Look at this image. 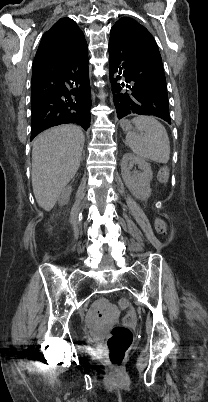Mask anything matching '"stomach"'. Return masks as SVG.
I'll list each match as a JSON object with an SVG mask.
<instances>
[{
	"mask_svg": "<svg viewBox=\"0 0 208 402\" xmlns=\"http://www.w3.org/2000/svg\"><path fill=\"white\" fill-rule=\"evenodd\" d=\"M121 128L124 132H130V130H132V124L128 122V120H121Z\"/></svg>",
	"mask_w": 208,
	"mask_h": 402,
	"instance_id": "stomach-1",
	"label": "stomach"
}]
</instances>
